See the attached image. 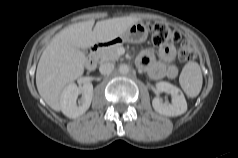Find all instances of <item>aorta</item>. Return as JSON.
<instances>
[{"label":"aorta","instance_id":"obj_1","mask_svg":"<svg viewBox=\"0 0 238 158\" xmlns=\"http://www.w3.org/2000/svg\"><path fill=\"white\" fill-rule=\"evenodd\" d=\"M119 72L123 75L127 74L129 72V66L126 64H121L119 66Z\"/></svg>","mask_w":238,"mask_h":158}]
</instances>
